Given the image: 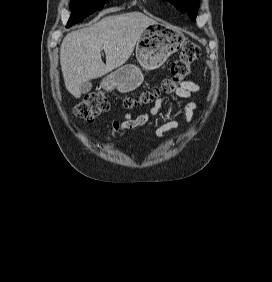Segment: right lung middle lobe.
I'll return each mask as SVG.
<instances>
[{
  "instance_id": "dd1d6c3e",
  "label": "right lung middle lobe",
  "mask_w": 272,
  "mask_h": 282,
  "mask_svg": "<svg viewBox=\"0 0 272 282\" xmlns=\"http://www.w3.org/2000/svg\"><path fill=\"white\" fill-rule=\"evenodd\" d=\"M108 0H71V17L67 28L71 25L81 22L84 18L100 10Z\"/></svg>"
}]
</instances>
